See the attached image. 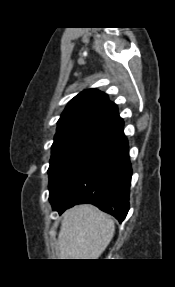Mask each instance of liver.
<instances>
[{"label": "liver", "instance_id": "1", "mask_svg": "<svg viewBox=\"0 0 175 287\" xmlns=\"http://www.w3.org/2000/svg\"><path fill=\"white\" fill-rule=\"evenodd\" d=\"M115 232L113 219L92 205H80L63 214L58 235L59 259H98Z\"/></svg>", "mask_w": 175, "mask_h": 287}]
</instances>
